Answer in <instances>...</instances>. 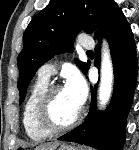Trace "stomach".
<instances>
[{
	"label": "stomach",
	"mask_w": 139,
	"mask_h": 150,
	"mask_svg": "<svg viewBox=\"0 0 139 150\" xmlns=\"http://www.w3.org/2000/svg\"><path fill=\"white\" fill-rule=\"evenodd\" d=\"M58 150H83L73 146L62 145Z\"/></svg>",
	"instance_id": "obj_1"
}]
</instances>
